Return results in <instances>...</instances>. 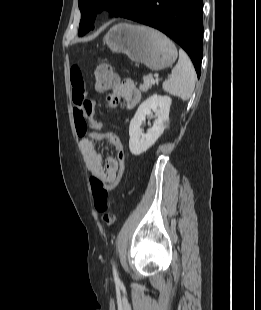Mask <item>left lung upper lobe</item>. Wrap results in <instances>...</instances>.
I'll return each mask as SVG.
<instances>
[{"label":"left lung upper lobe","instance_id":"1","mask_svg":"<svg viewBox=\"0 0 261 310\" xmlns=\"http://www.w3.org/2000/svg\"><path fill=\"white\" fill-rule=\"evenodd\" d=\"M135 0H79L81 11V21L79 27V36H83L89 30L93 29V23L96 14L107 8L112 11V15L123 17L131 9Z\"/></svg>","mask_w":261,"mask_h":310}]
</instances>
